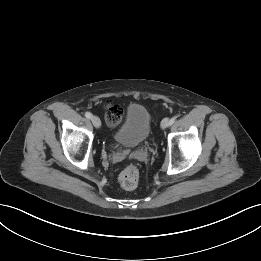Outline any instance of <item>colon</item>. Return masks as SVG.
Returning a JSON list of instances; mask_svg holds the SVG:
<instances>
[{
  "label": "colon",
  "instance_id": "1",
  "mask_svg": "<svg viewBox=\"0 0 261 261\" xmlns=\"http://www.w3.org/2000/svg\"><path fill=\"white\" fill-rule=\"evenodd\" d=\"M123 118V110L120 106L111 104L106 110V121L110 126L118 125ZM139 170L134 165L126 166L119 174L120 185L127 190L134 189L139 183Z\"/></svg>",
  "mask_w": 261,
  "mask_h": 261
}]
</instances>
